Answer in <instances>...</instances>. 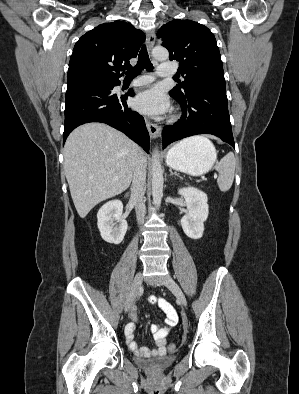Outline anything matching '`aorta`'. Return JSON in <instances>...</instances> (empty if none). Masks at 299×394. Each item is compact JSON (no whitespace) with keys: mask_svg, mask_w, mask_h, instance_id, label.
<instances>
[{"mask_svg":"<svg viewBox=\"0 0 299 394\" xmlns=\"http://www.w3.org/2000/svg\"><path fill=\"white\" fill-rule=\"evenodd\" d=\"M153 57L158 61H165L169 57L167 49L163 47H155L152 50ZM163 170L159 160V151L156 149L152 155V196L156 206L161 204L163 196Z\"/></svg>","mask_w":299,"mask_h":394,"instance_id":"aorta-1","label":"aorta"}]
</instances>
